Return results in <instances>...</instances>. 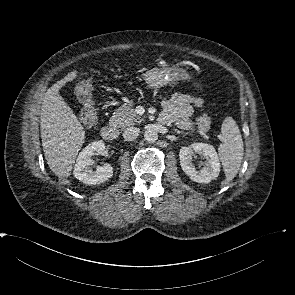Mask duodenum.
<instances>
[{"mask_svg": "<svg viewBox=\"0 0 295 295\" xmlns=\"http://www.w3.org/2000/svg\"><path fill=\"white\" fill-rule=\"evenodd\" d=\"M102 137L107 141H114L118 138V128L116 124H108L101 130Z\"/></svg>", "mask_w": 295, "mask_h": 295, "instance_id": "1", "label": "duodenum"}]
</instances>
